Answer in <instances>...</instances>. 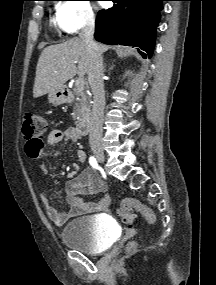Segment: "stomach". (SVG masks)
I'll return each mask as SVG.
<instances>
[{
  "label": "stomach",
  "mask_w": 216,
  "mask_h": 285,
  "mask_svg": "<svg viewBox=\"0 0 216 285\" xmlns=\"http://www.w3.org/2000/svg\"><path fill=\"white\" fill-rule=\"evenodd\" d=\"M49 102L54 105H61L68 100L67 90L65 87L51 91L48 95Z\"/></svg>",
  "instance_id": "0dacf381"
}]
</instances>
